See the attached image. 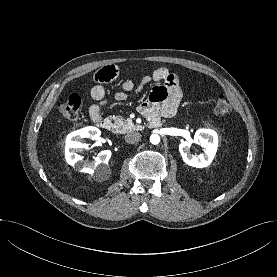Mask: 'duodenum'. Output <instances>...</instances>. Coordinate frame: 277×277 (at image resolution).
I'll return each mask as SVG.
<instances>
[{
    "mask_svg": "<svg viewBox=\"0 0 277 277\" xmlns=\"http://www.w3.org/2000/svg\"><path fill=\"white\" fill-rule=\"evenodd\" d=\"M96 126L99 127L102 130L109 131L112 128V124L109 120L107 119H97L94 121ZM149 125L151 127H157L160 125V118L157 115H153L149 117Z\"/></svg>",
    "mask_w": 277,
    "mask_h": 277,
    "instance_id": "410a0bca",
    "label": "duodenum"
}]
</instances>
